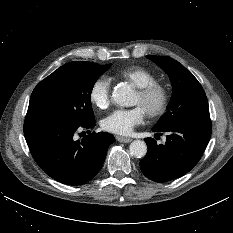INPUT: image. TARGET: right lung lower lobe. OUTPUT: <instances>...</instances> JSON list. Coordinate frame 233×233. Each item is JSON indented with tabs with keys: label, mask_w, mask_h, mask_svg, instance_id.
<instances>
[{
	"label": "right lung lower lobe",
	"mask_w": 233,
	"mask_h": 233,
	"mask_svg": "<svg viewBox=\"0 0 233 233\" xmlns=\"http://www.w3.org/2000/svg\"><path fill=\"white\" fill-rule=\"evenodd\" d=\"M95 124L27 113L24 135L34 160L47 175L63 184L80 185L99 172L109 145L115 141L112 134L105 132H93L81 141L74 139L77 130L93 128Z\"/></svg>",
	"instance_id": "98d812e1"
}]
</instances>
